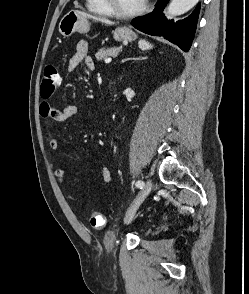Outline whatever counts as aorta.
Here are the masks:
<instances>
[{"label": "aorta", "mask_w": 249, "mask_h": 294, "mask_svg": "<svg viewBox=\"0 0 249 294\" xmlns=\"http://www.w3.org/2000/svg\"><path fill=\"white\" fill-rule=\"evenodd\" d=\"M199 0H172L167 8L169 16H179L193 8Z\"/></svg>", "instance_id": "aorta-1"}]
</instances>
